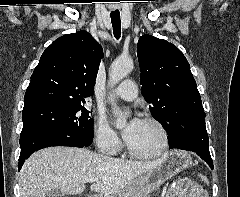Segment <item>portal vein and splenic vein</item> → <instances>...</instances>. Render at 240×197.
<instances>
[{"label":"portal vein and splenic vein","mask_w":240,"mask_h":197,"mask_svg":"<svg viewBox=\"0 0 240 197\" xmlns=\"http://www.w3.org/2000/svg\"><path fill=\"white\" fill-rule=\"evenodd\" d=\"M96 181V179H88L87 180V182H89V183H92V182H95Z\"/></svg>","instance_id":"1"}]
</instances>
